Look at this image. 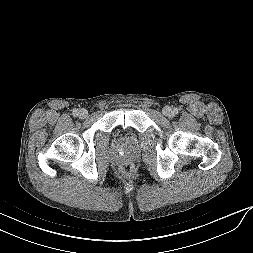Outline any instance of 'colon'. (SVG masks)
<instances>
[{
  "mask_svg": "<svg viewBox=\"0 0 253 253\" xmlns=\"http://www.w3.org/2000/svg\"><path fill=\"white\" fill-rule=\"evenodd\" d=\"M120 171H121L122 175L130 176L133 173V166L130 163H124L121 166Z\"/></svg>",
  "mask_w": 253,
  "mask_h": 253,
  "instance_id": "1",
  "label": "colon"
}]
</instances>
